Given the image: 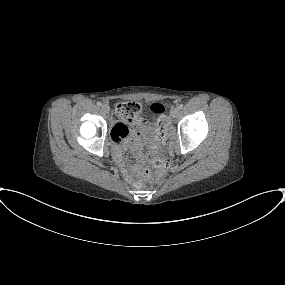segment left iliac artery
Returning a JSON list of instances; mask_svg holds the SVG:
<instances>
[{
  "label": "left iliac artery",
  "instance_id": "1",
  "mask_svg": "<svg viewBox=\"0 0 285 285\" xmlns=\"http://www.w3.org/2000/svg\"><path fill=\"white\" fill-rule=\"evenodd\" d=\"M182 108H183V104H180V105H179V109H182Z\"/></svg>",
  "mask_w": 285,
  "mask_h": 285
}]
</instances>
